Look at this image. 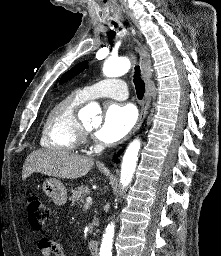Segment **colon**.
I'll return each mask as SVG.
<instances>
[{"mask_svg": "<svg viewBox=\"0 0 221 256\" xmlns=\"http://www.w3.org/2000/svg\"><path fill=\"white\" fill-rule=\"evenodd\" d=\"M28 220L32 228L40 230L45 225L49 217L47 205L35 195H31L26 203Z\"/></svg>", "mask_w": 221, "mask_h": 256, "instance_id": "obj_1", "label": "colon"}]
</instances>
